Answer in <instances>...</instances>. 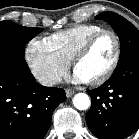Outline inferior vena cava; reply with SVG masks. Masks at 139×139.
<instances>
[{
	"instance_id": "1",
	"label": "inferior vena cava",
	"mask_w": 139,
	"mask_h": 139,
	"mask_svg": "<svg viewBox=\"0 0 139 139\" xmlns=\"http://www.w3.org/2000/svg\"><path fill=\"white\" fill-rule=\"evenodd\" d=\"M37 79L43 86H53L60 81V78L52 73L42 74Z\"/></svg>"
}]
</instances>
